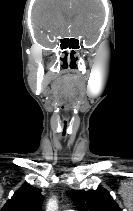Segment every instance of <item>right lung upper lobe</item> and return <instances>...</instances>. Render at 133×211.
Listing matches in <instances>:
<instances>
[{
	"instance_id": "obj_1",
	"label": "right lung upper lobe",
	"mask_w": 133,
	"mask_h": 211,
	"mask_svg": "<svg viewBox=\"0 0 133 211\" xmlns=\"http://www.w3.org/2000/svg\"><path fill=\"white\" fill-rule=\"evenodd\" d=\"M41 190L30 185L20 187L1 211H41Z\"/></svg>"
}]
</instances>
